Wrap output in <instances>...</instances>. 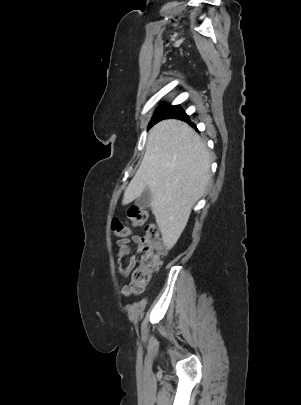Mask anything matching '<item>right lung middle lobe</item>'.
Segmentation results:
<instances>
[{
	"instance_id": "obj_1",
	"label": "right lung middle lobe",
	"mask_w": 301,
	"mask_h": 405,
	"mask_svg": "<svg viewBox=\"0 0 301 405\" xmlns=\"http://www.w3.org/2000/svg\"><path fill=\"white\" fill-rule=\"evenodd\" d=\"M182 114H184V112L180 109L179 105L170 106L168 104H163L155 111L149 123V127L162 119L171 118Z\"/></svg>"
}]
</instances>
